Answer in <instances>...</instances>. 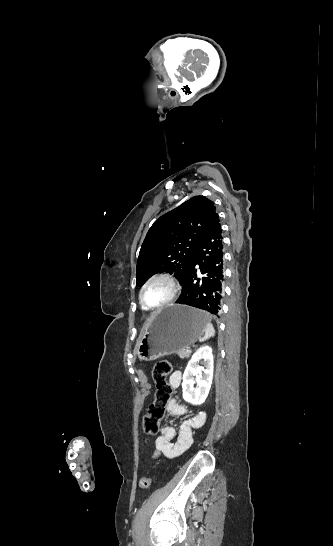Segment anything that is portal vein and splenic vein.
Masks as SVG:
<instances>
[{
  "label": "portal vein and splenic vein",
  "instance_id": "portal-vein-and-splenic-vein-1",
  "mask_svg": "<svg viewBox=\"0 0 333 546\" xmlns=\"http://www.w3.org/2000/svg\"><path fill=\"white\" fill-rule=\"evenodd\" d=\"M187 352H189V353H190V352H191V350H187Z\"/></svg>",
  "mask_w": 333,
  "mask_h": 546
}]
</instances>
